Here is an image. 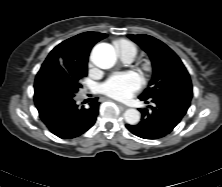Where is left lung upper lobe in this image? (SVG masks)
<instances>
[{
    "label": "left lung upper lobe",
    "instance_id": "1",
    "mask_svg": "<svg viewBox=\"0 0 222 187\" xmlns=\"http://www.w3.org/2000/svg\"><path fill=\"white\" fill-rule=\"evenodd\" d=\"M128 37L149 55L153 66L152 80L139 99L150 100L164 91L192 86L189 73L182 61L166 44L145 34Z\"/></svg>",
    "mask_w": 222,
    "mask_h": 187
}]
</instances>
